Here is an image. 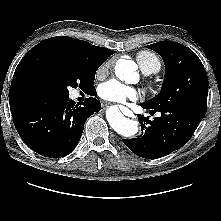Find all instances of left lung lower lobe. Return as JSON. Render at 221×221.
<instances>
[{
    "label": "left lung lower lobe",
    "instance_id": "1",
    "mask_svg": "<svg viewBox=\"0 0 221 221\" xmlns=\"http://www.w3.org/2000/svg\"><path fill=\"white\" fill-rule=\"evenodd\" d=\"M142 108L150 112H161L153 121L138 114L142 131L134 139H124L123 143L136 155L146 159H157L185 145L203 119L205 108H185L174 105L164 109H154L143 103Z\"/></svg>",
    "mask_w": 221,
    "mask_h": 221
}]
</instances>
